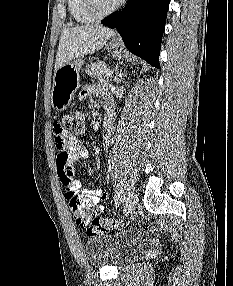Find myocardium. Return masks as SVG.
Wrapping results in <instances>:
<instances>
[{"mask_svg":"<svg viewBox=\"0 0 233 286\" xmlns=\"http://www.w3.org/2000/svg\"><path fill=\"white\" fill-rule=\"evenodd\" d=\"M84 2L88 12L97 19L106 17L115 12L123 4L124 0L117 1L112 7L105 10L99 8L96 0H84Z\"/></svg>","mask_w":233,"mask_h":286,"instance_id":"f54148a6","label":"myocardium"}]
</instances>
